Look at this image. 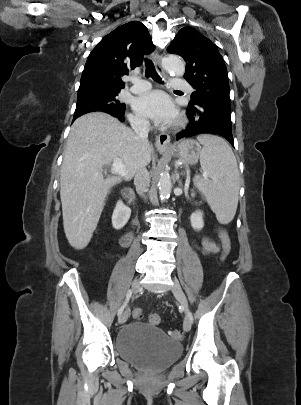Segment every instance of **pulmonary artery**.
I'll return each instance as SVG.
<instances>
[{
	"instance_id": "1",
	"label": "pulmonary artery",
	"mask_w": 301,
	"mask_h": 405,
	"mask_svg": "<svg viewBox=\"0 0 301 405\" xmlns=\"http://www.w3.org/2000/svg\"><path fill=\"white\" fill-rule=\"evenodd\" d=\"M170 85L172 88L176 90H186L188 92L192 91V88L190 87L188 82L181 78H172ZM150 88L151 85L148 81L139 78L132 79V86L130 88L131 92L135 94L144 93L148 91Z\"/></svg>"
}]
</instances>
